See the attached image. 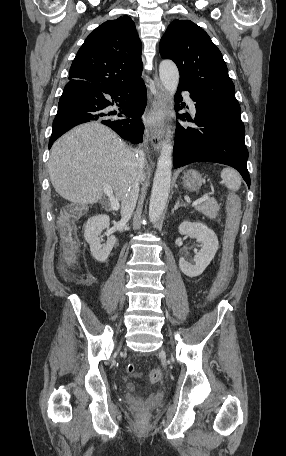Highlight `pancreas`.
<instances>
[{"instance_id": "cf45deb5", "label": "pancreas", "mask_w": 286, "mask_h": 456, "mask_svg": "<svg viewBox=\"0 0 286 456\" xmlns=\"http://www.w3.org/2000/svg\"><path fill=\"white\" fill-rule=\"evenodd\" d=\"M195 209L200 213L204 214L206 217L214 219L218 214L220 205L217 203L215 199H209L204 203L197 205Z\"/></svg>"}]
</instances>
